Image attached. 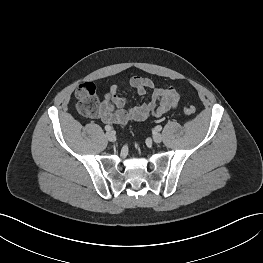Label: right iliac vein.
I'll list each match as a JSON object with an SVG mask.
<instances>
[{
  "instance_id": "right-iliac-vein-1",
  "label": "right iliac vein",
  "mask_w": 263,
  "mask_h": 263,
  "mask_svg": "<svg viewBox=\"0 0 263 263\" xmlns=\"http://www.w3.org/2000/svg\"><path fill=\"white\" fill-rule=\"evenodd\" d=\"M105 136H106L108 141L113 142L116 140V136L113 132H107Z\"/></svg>"
}]
</instances>
